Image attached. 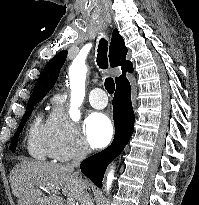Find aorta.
<instances>
[{"mask_svg":"<svg viewBox=\"0 0 199 205\" xmlns=\"http://www.w3.org/2000/svg\"><path fill=\"white\" fill-rule=\"evenodd\" d=\"M86 74L87 67L85 65L73 63L69 69L72 106L70 117L74 121H78L80 119V112L77 110V107L82 104L85 97ZM113 179L114 173L113 170H111L107 175V189L110 188Z\"/></svg>","mask_w":199,"mask_h":205,"instance_id":"1","label":"aorta"}]
</instances>
